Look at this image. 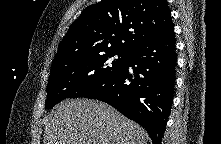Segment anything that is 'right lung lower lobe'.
<instances>
[{"label": "right lung lower lobe", "instance_id": "obj_1", "mask_svg": "<svg viewBox=\"0 0 221 144\" xmlns=\"http://www.w3.org/2000/svg\"><path fill=\"white\" fill-rule=\"evenodd\" d=\"M175 44L172 25L134 47L115 75L81 97L110 104L145 128L153 144H161L174 94Z\"/></svg>", "mask_w": 221, "mask_h": 144}]
</instances>
